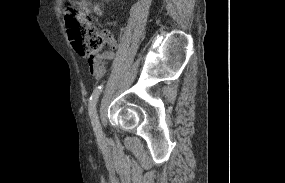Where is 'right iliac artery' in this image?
Listing matches in <instances>:
<instances>
[{
    "instance_id": "1",
    "label": "right iliac artery",
    "mask_w": 285,
    "mask_h": 183,
    "mask_svg": "<svg viewBox=\"0 0 285 183\" xmlns=\"http://www.w3.org/2000/svg\"><path fill=\"white\" fill-rule=\"evenodd\" d=\"M101 91L102 86H98L91 95L89 102V115L98 141L102 139V130L97 116L96 103Z\"/></svg>"
}]
</instances>
